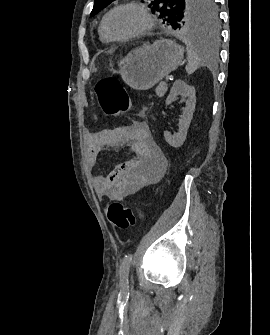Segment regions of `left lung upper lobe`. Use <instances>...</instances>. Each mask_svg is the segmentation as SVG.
I'll return each instance as SVG.
<instances>
[{
	"mask_svg": "<svg viewBox=\"0 0 270 335\" xmlns=\"http://www.w3.org/2000/svg\"><path fill=\"white\" fill-rule=\"evenodd\" d=\"M114 0H94L90 16L96 15ZM163 23L182 31H214L218 22L215 0H153L149 5Z\"/></svg>",
	"mask_w": 270,
	"mask_h": 335,
	"instance_id": "5c2ea615",
	"label": "left lung upper lobe"
}]
</instances>
